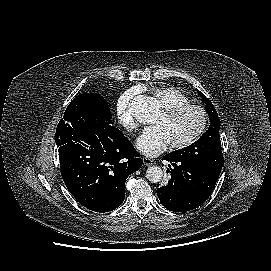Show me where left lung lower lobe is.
<instances>
[{
	"label": "left lung lower lobe",
	"instance_id": "obj_1",
	"mask_svg": "<svg viewBox=\"0 0 271 271\" xmlns=\"http://www.w3.org/2000/svg\"><path fill=\"white\" fill-rule=\"evenodd\" d=\"M171 163L168 183L157 189L161 204L174 212H186L203 204L216 185L217 175L203 167L179 160L171 153L163 157ZM172 166V167H171Z\"/></svg>",
	"mask_w": 271,
	"mask_h": 271
}]
</instances>
